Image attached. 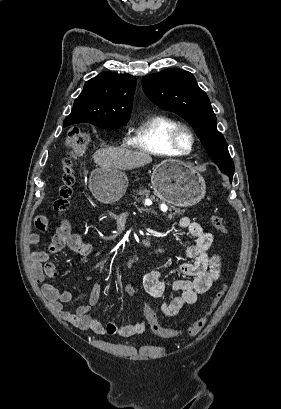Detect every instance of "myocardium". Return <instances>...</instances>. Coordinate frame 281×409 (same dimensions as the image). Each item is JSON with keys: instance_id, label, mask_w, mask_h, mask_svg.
<instances>
[{"instance_id": "obj_1", "label": "myocardium", "mask_w": 281, "mask_h": 409, "mask_svg": "<svg viewBox=\"0 0 281 409\" xmlns=\"http://www.w3.org/2000/svg\"><path fill=\"white\" fill-rule=\"evenodd\" d=\"M194 144V135L187 127H182L176 131L174 135V145L181 154H190L193 151Z\"/></svg>"}]
</instances>
